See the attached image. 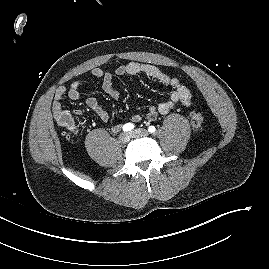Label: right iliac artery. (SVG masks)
Segmentation results:
<instances>
[{"label":"right iliac artery","instance_id":"1","mask_svg":"<svg viewBox=\"0 0 269 269\" xmlns=\"http://www.w3.org/2000/svg\"><path fill=\"white\" fill-rule=\"evenodd\" d=\"M134 128V124L132 123H126L123 126V131L127 132V131H131Z\"/></svg>","mask_w":269,"mask_h":269}]
</instances>
